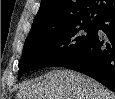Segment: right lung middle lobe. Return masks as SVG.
I'll list each match as a JSON object with an SVG mask.
<instances>
[{"label":"right lung middle lobe","instance_id":"obj_1","mask_svg":"<svg viewBox=\"0 0 115 99\" xmlns=\"http://www.w3.org/2000/svg\"><path fill=\"white\" fill-rule=\"evenodd\" d=\"M99 23H78L45 34L27 37L18 78L42 67H64L75 60L97 35Z\"/></svg>","mask_w":115,"mask_h":99}]
</instances>
